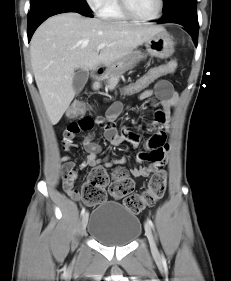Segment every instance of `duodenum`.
Returning a JSON list of instances; mask_svg holds the SVG:
<instances>
[{
	"label": "duodenum",
	"mask_w": 231,
	"mask_h": 281,
	"mask_svg": "<svg viewBox=\"0 0 231 281\" xmlns=\"http://www.w3.org/2000/svg\"><path fill=\"white\" fill-rule=\"evenodd\" d=\"M105 72L104 67H96L93 69L92 76L95 80L99 79Z\"/></svg>",
	"instance_id": "obj_1"
}]
</instances>
